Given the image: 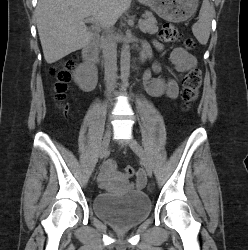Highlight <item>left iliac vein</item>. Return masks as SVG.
<instances>
[{
  "instance_id": "left-iliac-vein-1",
  "label": "left iliac vein",
  "mask_w": 248,
  "mask_h": 250,
  "mask_svg": "<svg viewBox=\"0 0 248 250\" xmlns=\"http://www.w3.org/2000/svg\"><path fill=\"white\" fill-rule=\"evenodd\" d=\"M129 146L133 150V152H135L140 157L146 173L148 174V176L151 177L153 173V168L149 159L146 156L143 147L135 139L129 140Z\"/></svg>"
}]
</instances>
